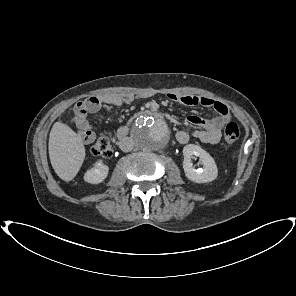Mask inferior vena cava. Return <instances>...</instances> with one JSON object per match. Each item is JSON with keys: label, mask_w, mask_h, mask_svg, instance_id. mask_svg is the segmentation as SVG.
I'll return each mask as SVG.
<instances>
[{"label": "inferior vena cava", "mask_w": 296, "mask_h": 296, "mask_svg": "<svg viewBox=\"0 0 296 296\" xmlns=\"http://www.w3.org/2000/svg\"><path fill=\"white\" fill-rule=\"evenodd\" d=\"M134 143L130 138H123L120 142V148L124 152L131 151L133 149Z\"/></svg>", "instance_id": "602c4592"}]
</instances>
